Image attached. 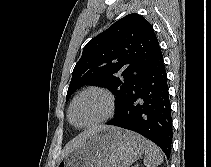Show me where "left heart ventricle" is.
Here are the masks:
<instances>
[{
	"label": "left heart ventricle",
	"mask_w": 211,
	"mask_h": 167,
	"mask_svg": "<svg viewBox=\"0 0 211 167\" xmlns=\"http://www.w3.org/2000/svg\"><path fill=\"white\" fill-rule=\"evenodd\" d=\"M107 112L106 98L97 92L80 97L72 110V119L77 125H85L103 117Z\"/></svg>",
	"instance_id": "left-heart-ventricle-1"
}]
</instances>
